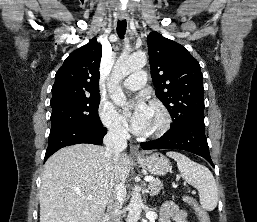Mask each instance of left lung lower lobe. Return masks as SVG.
<instances>
[{"instance_id":"left-lung-lower-lobe-1","label":"left lung lower lobe","mask_w":257,"mask_h":222,"mask_svg":"<svg viewBox=\"0 0 257 222\" xmlns=\"http://www.w3.org/2000/svg\"><path fill=\"white\" fill-rule=\"evenodd\" d=\"M144 150L180 149L192 152L205 158L213 167L209 147L205 136V125L189 123L170 128L161 138L140 143Z\"/></svg>"}]
</instances>
